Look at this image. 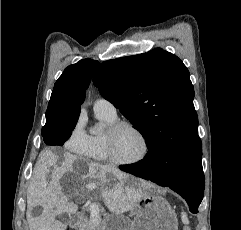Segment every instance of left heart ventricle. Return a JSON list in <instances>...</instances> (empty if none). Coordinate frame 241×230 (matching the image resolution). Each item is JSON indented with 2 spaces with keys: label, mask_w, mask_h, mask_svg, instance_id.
Listing matches in <instances>:
<instances>
[{
  "label": "left heart ventricle",
  "mask_w": 241,
  "mask_h": 230,
  "mask_svg": "<svg viewBox=\"0 0 241 230\" xmlns=\"http://www.w3.org/2000/svg\"><path fill=\"white\" fill-rule=\"evenodd\" d=\"M143 151L141 138L131 129L122 128L114 138V152L120 160H133Z\"/></svg>",
  "instance_id": "obj_1"
}]
</instances>
